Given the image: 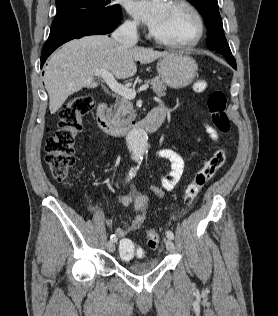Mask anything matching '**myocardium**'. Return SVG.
<instances>
[{
    "instance_id": "1",
    "label": "myocardium",
    "mask_w": 278,
    "mask_h": 316,
    "mask_svg": "<svg viewBox=\"0 0 278 316\" xmlns=\"http://www.w3.org/2000/svg\"><path fill=\"white\" fill-rule=\"evenodd\" d=\"M170 4L185 9L195 22V33L192 38L186 41H169L156 36L152 31L150 38L157 44L174 48V49H190L195 47L202 39L204 34V21L198 9L188 0H171Z\"/></svg>"
}]
</instances>
